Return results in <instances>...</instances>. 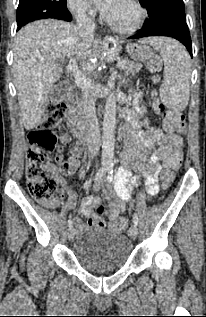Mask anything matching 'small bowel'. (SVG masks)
Masks as SVG:
<instances>
[{
    "mask_svg": "<svg viewBox=\"0 0 206 317\" xmlns=\"http://www.w3.org/2000/svg\"><path fill=\"white\" fill-rule=\"evenodd\" d=\"M138 95V94H137ZM156 109L160 110L161 104L158 100H154ZM136 113H132L128 117V124L125 132V153L123 154V162L125 167L120 169L114 177H109V188L106 195H115V200L110 203L107 216L112 221L119 219L125 210L126 202L132 198V190L139 186L142 182L145 184V193L153 196L158 193V175L160 163L166 159L173 149H179L182 146V138L176 134L164 133L159 129H142L139 123L141 115L145 114V108L136 102ZM80 150L73 149V157L71 163L73 170L78 168V157ZM132 157H136L139 162H133ZM132 171L139 172L143 176H132ZM53 176L66 187L68 194L67 205L70 208L76 206V197L73 190L66 185L65 180L58 174L57 170L52 168ZM101 182L93 185L95 190L101 189ZM43 205L50 209L61 208L63 204L58 198L43 201ZM100 205V199L96 196H88L81 202L79 213L87 220L84 224L80 220H76V228L79 234H84L89 227L101 228L105 225L104 219L97 215L94 208Z\"/></svg>",
    "mask_w": 206,
    "mask_h": 317,
    "instance_id": "obj_1",
    "label": "small bowel"
}]
</instances>
